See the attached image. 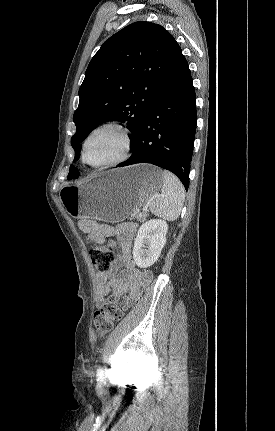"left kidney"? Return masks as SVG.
I'll list each match as a JSON object with an SVG mask.
<instances>
[{"label": "left kidney", "mask_w": 275, "mask_h": 431, "mask_svg": "<svg viewBox=\"0 0 275 431\" xmlns=\"http://www.w3.org/2000/svg\"><path fill=\"white\" fill-rule=\"evenodd\" d=\"M167 230L168 224L162 219H151L140 226L133 247V259L138 267L147 268L159 258Z\"/></svg>", "instance_id": "5707ae66"}]
</instances>
